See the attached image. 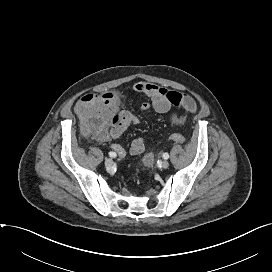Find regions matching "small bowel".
I'll return each instance as SVG.
<instances>
[{
    "label": "small bowel",
    "mask_w": 272,
    "mask_h": 272,
    "mask_svg": "<svg viewBox=\"0 0 272 272\" xmlns=\"http://www.w3.org/2000/svg\"><path fill=\"white\" fill-rule=\"evenodd\" d=\"M133 88L136 93L145 95L150 99V102L142 104V111L152 108L157 113L169 114V120L175 127H184L190 115L197 109V104L192 97L178 91L168 90L164 87L143 81L135 83ZM173 108H177L180 112H173ZM121 117L120 122L112 125L108 131L98 136L100 141L107 142L120 137L129 126L135 125L139 121L134 114L128 111L122 112ZM111 147L117 152L120 158L126 155V151L121 145L112 143ZM144 149L143 139L136 138L131 141L129 148L131 154H141Z\"/></svg>",
    "instance_id": "1"
}]
</instances>
